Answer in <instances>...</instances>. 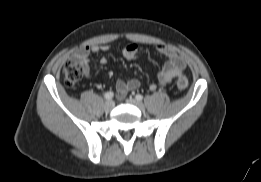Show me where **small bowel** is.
<instances>
[{
    "label": "small bowel",
    "instance_id": "c3829d8e",
    "mask_svg": "<svg viewBox=\"0 0 261 182\" xmlns=\"http://www.w3.org/2000/svg\"><path fill=\"white\" fill-rule=\"evenodd\" d=\"M110 49L111 47L108 45H87L74 52L71 59L72 61L80 64L85 77H89L91 63L90 56L92 54L107 52ZM156 50L159 54L166 58V63L158 74V81L161 85H167L171 82L173 77L183 73L186 67V60L173 47L158 45ZM122 54L127 60H135L139 55V47L134 43L128 44L122 49ZM99 61L101 64H106L107 58L102 56ZM139 87L140 82L137 79L116 81V90L119 97H124L129 91L136 90ZM149 89L151 91L155 90L156 85L151 84Z\"/></svg>",
    "mask_w": 261,
    "mask_h": 182
}]
</instances>
